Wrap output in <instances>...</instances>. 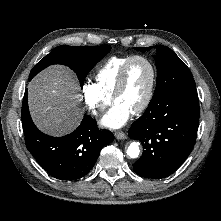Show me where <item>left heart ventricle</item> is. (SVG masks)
I'll return each instance as SVG.
<instances>
[{
	"label": "left heart ventricle",
	"instance_id": "left-heart-ventricle-1",
	"mask_svg": "<svg viewBox=\"0 0 221 221\" xmlns=\"http://www.w3.org/2000/svg\"><path fill=\"white\" fill-rule=\"evenodd\" d=\"M151 79L148 65L136 60L131 63L126 77L123 91L116 98L115 103L121 104L131 112H134L144 100Z\"/></svg>",
	"mask_w": 221,
	"mask_h": 221
}]
</instances>
